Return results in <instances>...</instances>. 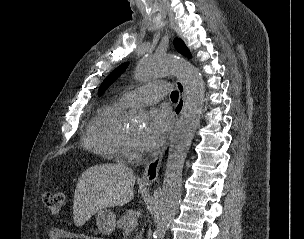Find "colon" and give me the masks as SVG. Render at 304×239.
Listing matches in <instances>:
<instances>
[{"label":"colon","instance_id":"obj_1","mask_svg":"<svg viewBox=\"0 0 304 239\" xmlns=\"http://www.w3.org/2000/svg\"><path fill=\"white\" fill-rule=\"evenodd\" d=\"M43 202L52 215H59L65 204V194L63 192L45 193Z\"/></svg>","mask_w":304,"mask_h":239}]
</instances>
